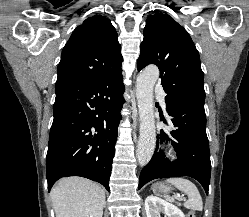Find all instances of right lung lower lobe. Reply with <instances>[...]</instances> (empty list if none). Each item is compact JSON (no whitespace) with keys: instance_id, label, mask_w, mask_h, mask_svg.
I'll use <instances>...</instances> for the list:
<instances>
[{"instance_id":"obj_1","label":"right lung lower lobe","mask_w":249,"mask_h":217,"mask_svg":"<svg viewBox=\"0 0 249 217\" xmlns=\"http://www.w3.org/2000/svg\"><path fill=\"white\" fill-rule=\"evenodd\" d=\"M124 89L122 71L96 82L56 84L46 157L48 191L66 176L91 179L109 191Z\"/></svg>"}]
</instances>
